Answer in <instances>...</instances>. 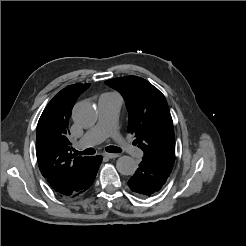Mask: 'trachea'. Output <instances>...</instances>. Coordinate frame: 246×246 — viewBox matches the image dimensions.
<instances>
[{
  "mask_svg": "<svg viewBox=\"0 0 246 246\" xmlns=\"http://www.w3.org/2000/svg\"><path fill=\"white\" fill-rule=\"evenodd\" d=\"M106 151L110 153H120L122 150L116 146H108L106 147ZM74 152L76 155H93L95 154L96 151L94 148H88V149H85L84 151L74 150Z\"/></svg>",
  "mask_w": 246,
  "mask_h": 246,
  "instance_id": "trachea-1",
  "label": "trachea"
}]
</instances>
